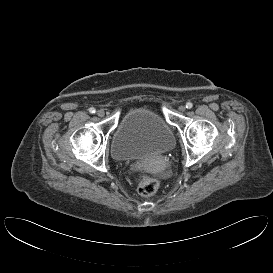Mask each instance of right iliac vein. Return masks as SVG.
I'll use <instances>...</instances> for the list:
<instances>
[{"label": "right iliac vein", "instance_id": "63e3f726", "mask_svg": "<svg viewBox=\"0 0 273 273\" xmlns=\"http://www.w3.org/2000/svg\"><path fill=\"white\" fill-rule=\"evenodd\" d=\"M97 115H98L99 117H103V116L105 115L104 110H102V109L98 110V111H97Z\"/></svg>", "mask_w": 273, "mask_h": 273}]
</instances>
